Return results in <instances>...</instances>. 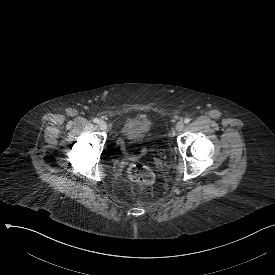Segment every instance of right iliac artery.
Masks as SVG:
<instances>
[{"label": "right iliac artery", "instance_id": "82829eb1", "mask_svg": "<svg viewBox=\"0 0 275 275\" xmlns=\"http://www.w3.org/2000/svg\"><path fill=\"white\" fill-rule=\"evenodd\" d=\"M93 121H94V123H98V122H99V119H98V118H95Z\"/></svg>", "mask_w": 275, "mask_h": 275}]
</instances>
